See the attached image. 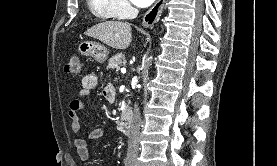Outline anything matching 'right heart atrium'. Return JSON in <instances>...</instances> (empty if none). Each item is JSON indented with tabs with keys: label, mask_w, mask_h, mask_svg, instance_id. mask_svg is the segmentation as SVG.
<instances>
[{
	"label": "right heart atrium",
	"mask_w": 277,
	"mask_h": 166,
	"mask_svg": "<svg viewBox=\"0 0 277 166\" xmlns=\"http://www.w3.org/2000/svg\"><path fill=\"white\" fill-rule=\"evenodd\" d=\"M113 4L119 16H126L132 12V7L127 0H113Z\"/></svg>",
	"instance_id": "right-heart-atrium-1"
}]
</instances>
